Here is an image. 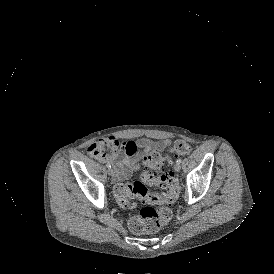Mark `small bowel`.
<instances>
[{
	"label": "small bowel",
	"mask_w": 274,
	"mask_h": 274,
	"mask_svg": "<svg viewBox=\"0 0 274 274\" xmlns=\"http://www.w3.org/2000/svg\"><path fill=\"white\" fill-rule=\"evenodd\" d=\"M168 140L155 141L150 138H141L138 141L129 140L120 142L108 137L91 144L88 154L114 169V181L122 182L130 178L138 169V161L160 152V145Z\"/></svg>",
	"instance_id": "obj_1"
}]
</instances>
